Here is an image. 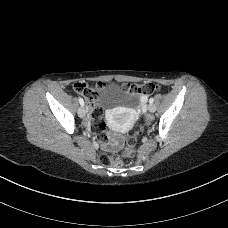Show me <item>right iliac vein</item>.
Wrapping results in <instances>:
<instances>
[{
    "label": "right iliac vein",
    "mask_w": 228,
    "mask_h": 228,
    "mask_svg": "<svg viewBox=\"0 0 228 228\" xmlns=\"http://www.w3.org/2000/svg\"><path fill=\"white\" fill-rule=\"evenodd\" d=\"M85 115H86V111H85L84 106L79 107V109H78V116H79L80 118H84Z\"/></svg>",
    "instance_id": "63e3f726"
}]
</instances>
